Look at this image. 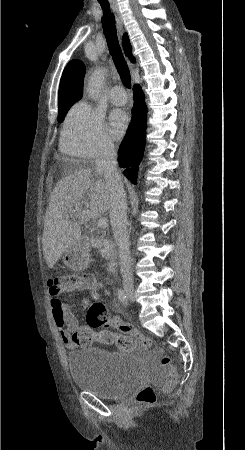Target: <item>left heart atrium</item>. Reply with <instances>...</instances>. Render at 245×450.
I'll list each match as a JSON object with an SVG mask.
<instances>
[{"label":"left heart atrium","instance_id":"left-heart-atrium-1","mask_svg":"<svg viewBox=\"0 0 245 450\" xmlns=\"http://www.w3.org/2000/svg\"><path fill=\"white\" fill-rule=\"evenodd\" d=\"M129 115L122 109H115L110 114L109 127L113 136L121 138L129 125Z\"/></svg>","mask_w":245,"mask_h":450}]
</instances>
